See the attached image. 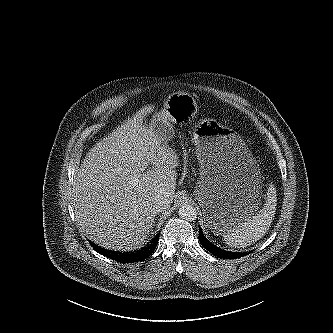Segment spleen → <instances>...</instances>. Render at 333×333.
<instances>
[{"instance_id": "spleen-1", "label": "spleen", "mask_w": 333, "mask_h": 333, "mask_svg": "<svg viewBox=\"0 0 333 333\" xmlns=\"http://www.w3.org/2000/svg\"><path fill=\"white\" fill-rule=\"evenodd\" d=\"M276 205V189L273 184H269L264 207L224 233L225 243L234 248H245L258 241L269 230Z\"/></svg>"}]
</instances>
